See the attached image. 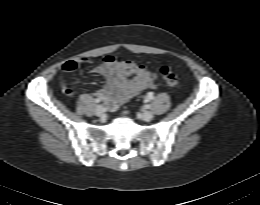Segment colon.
I'll list each match as a JSON object with an SVG mask.
<instances>
[{
	"mask_svg": "<svg viewBox=\"0 0 260 205\" xmlns=\"http://www.w3.org/2000/svg\"><path fill=\"white\" fill-rule=\"evenodd\" d=\"M160 75L168 85L170 86L179 85V79L177 74L169 66H162L160 68Z\"/></svg>",
	"mask_w": 260,
	"mask_h": 205,
	"instance_id": "1",
	"label": "colon"
}]
</instances>
